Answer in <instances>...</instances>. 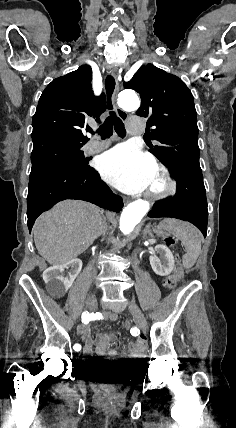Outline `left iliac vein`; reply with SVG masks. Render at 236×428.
<instances>
[{
	"instance_id": "4c4485c4",
	"label": "left iliac vein",
	"mask_w": 236,
	"mask_h": 428,
	"mask_svg": "<svg viewBox=\"0 0 236 428\" xmlns=\"http://www.w3.org/2000/svg\"><path fill=\"white\" fill-rule=\"evenodd\" d=\"M130 305L128 306V309L131 311L133 317H134V323L137 328L143 329L142 331L145 333L146 330V321L145 318L142 316L140 312V308L137 306V303L134 302L132 299L129 301Z\"/></svg>"
}]
</instances>
